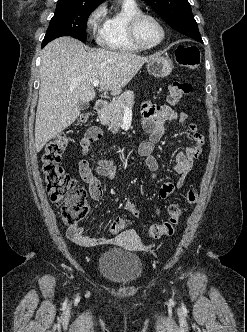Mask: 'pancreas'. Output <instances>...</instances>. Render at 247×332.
I'll return each instance as SVG.
<instances>
[{"mask_svg":"<svg viewBox=\"0 0 247 332\" xmlns=\"http://www.w3.org/2000/svg\"><path fill=\"white\" fill-rule=\"evenodd\" d=\"M134 105V92L125 91L116 100L112 101L99 115L102 125L109 126V130L115 134L122 124L126 107Z\"/></svg>","mask_w":247,"mask_h":332,"instance_id":"pancreas-1","label":"pancreas"}]
</instances>
